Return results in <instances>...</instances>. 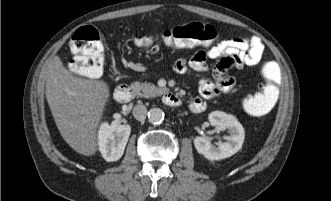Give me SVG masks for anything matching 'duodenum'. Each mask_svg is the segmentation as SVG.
I'll use <instances>...</instances> for the list:
<instances>
[{
  "instance_id": "410a0bca",
  "label": "duodenum",
  "mask_w": 331,
  "mask_h": 201,
  "mask_svg": "<svg viewBox=\"0 0 331 201\" xmlns=\"http://www.w3.org/2000/svg\"><path fill=\"white\" fill-rule=\"evenodd\" d=\"M133 96V89L127 84L119 85L114 92V99L118 103H126ZM163 102L171 107H177L181 104L180 98L171 91H166L163 93Z\"/></svg>"
}]
</instances>
